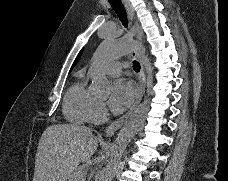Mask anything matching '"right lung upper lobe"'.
<instances>
[{"label": "right lung upper lobe", "instance_id": "cb5924a9", "mask_svg": "<svg viewBox=\"0 0 228 181\" xmlns=\"http://www.w3.org/2000/svg\"><path fill=\"white\" fill-rule=\"evenodd\" d=\"M82 51H83V50H81V51L79 52V54H78L77 58L75 59V61H74L73 65H72V67L75 66V64H76L77 61L79 60V58H80V56H81V54H82ZM71 70H72V68L70 69V71H71Z\"/></svg>", "mask_w": 228, "mask_h": 181}]
</instances>
